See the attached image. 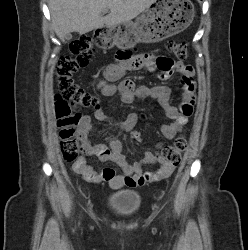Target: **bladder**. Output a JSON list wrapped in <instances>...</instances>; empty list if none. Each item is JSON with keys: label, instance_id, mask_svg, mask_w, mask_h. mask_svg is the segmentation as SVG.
<instances>
[{"label": "bladder", "instance_id": "obj_1", "mask_svg": "<svg viewBox=\"0 0 248 250\" xmlns=\"http://www.w3.org/2000/svg\"><path fill=\"white\" fill-rule=\"evenodd\" d=\"M141 194L139 191L124 189L109 194V209L120 215L130 216L135 214L141 207Z\"/></svg>", "mask_w": 248, "mask_h": 250}]
</instances>
